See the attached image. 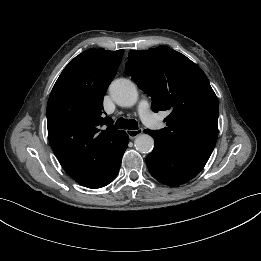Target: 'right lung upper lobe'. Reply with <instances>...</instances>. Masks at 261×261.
<instances>
[{
	"mask_svg": "<svg viewBox=\"0 0 261 261\" xmlns=\"http://www.w3.org/2000/svg\"><path fill=\"white\" fill-rule=\"evenodd\" d=\"M123 53L89 49L79 54L64 68L48 100L50 145L64 170L81 185L109 168L127 135L102 116L103 96Z\"/></svg>",
	"mask_w": 261,
	"mask_h": 261,
	"instance_id": "obj_1",
	"label": "right lung upper lobe"
}]
</instances>
